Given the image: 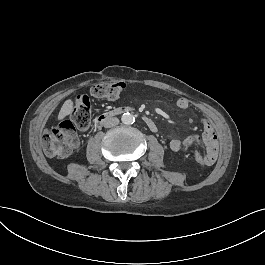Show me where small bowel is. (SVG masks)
I'll use <instances>...</instances> for the list:
<instances>
[{"label": "small bowel", "mask_w": 265, "mask_h": 265, "mask_svg": "<svg viewBox=\"0 0 265 265\" xmlns=\"http://www.w3.org/2000/svg\"><path fill=\"white\" fill-rule=\"evenodd\" d=\"M176 106L181 111H186L190 108V102L186 98H178L176 100ZM201 124L204 130L203 139L205 142V164L213 165L218 156V145L216 141V136L209 119L201 118ZM197 138L194 136H189L185 139H172L169 142V147L174 152L188 150L195 142Z\"/></svg>", "instance_id": "obj_1"}]
</instances>
